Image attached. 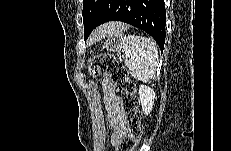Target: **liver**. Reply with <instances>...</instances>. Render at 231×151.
Instances as JSON below:
<instances>
[{
	"mask_svg": "<svg viewBox=\"0 0 231 151\" xmlns=\"http://www.w3.org/2000/svg\"><path fill=\"white\" fill-rule=\"evenodd\" d=\"M125 28V25L120 22H112L107 23L99 28H97L90 37V42H94L96 40L102 39L110 34H117Z\"/></svg>",
	"mask_w": 231,
	"mask_h": 151,
	"instance_id": "obj_1",
	"label": "liver"
}]
</instances>
